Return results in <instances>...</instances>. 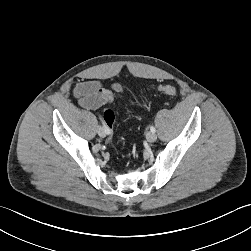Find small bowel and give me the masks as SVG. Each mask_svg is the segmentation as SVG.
<instances>
[{
    "mask_svg": "<svg viewBox=\"0 0 251 251\" xmlns=\"http://www.w3.org/2000/svg\"><path fill=\"white\" fill-rule=\"evenodd\" d=\"M122 92L123 86L119 83H115L110 89H107L96 80L80 82L74 88V96L78 103L87 110H96L111 104L115 95Z\"/></svg>",
    "mask_w": 251,
    "mask_h": 251,
    "instance_id": "small-bowel-1",
    "label": "small bowel"
}]
</instances>
